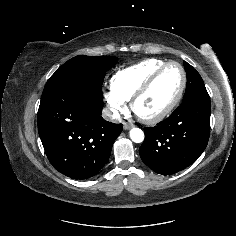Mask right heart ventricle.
<instances>
[{"label": "right heart ventricle", "instance_id": "right-heart-ventricle-1", "mask_svg": "<svg viewBox=\"0 0 236 236\" xmlns=\"http://www.w3.org/2000/svg\"><path fill=\"white\" fill-rule=\"evenodd\" d=\"M165 63L164 60L151 58L123 68L112 77L111 88L125 101L131 100L144 82Z\"/></svg>", "mask_w": 236, "mask_h": 236}]
</instances>
